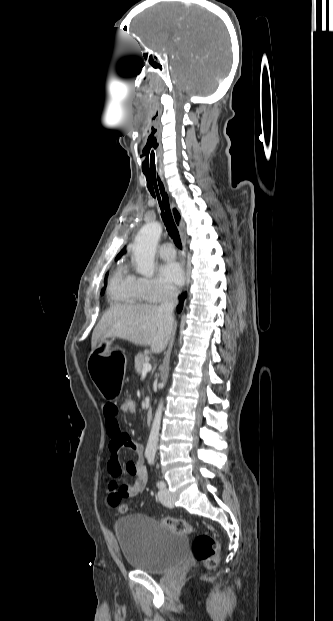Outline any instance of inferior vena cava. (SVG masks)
<instances>
[{
    "mask_svg": "<svg viewBox=\"0 0 333 621\" xmlns=\"http://www.w3.org/2000/svg\"><path fill=\"white\" fill-rule=\"evenodd\" d=\"M178 294H179L178 289H176V288L169 289L165 293L163 301H162V303H161V305L159 307L160 310L165 313V315L167 316L168 320L171 323H174L173 311H174V308L178 304Z\"/></svg>",
    "mask_w": 333,
    "mask_h": 621,
    "instance_id": "602c4592",
    "label": "inferior vena cava"
}]
</instances>
